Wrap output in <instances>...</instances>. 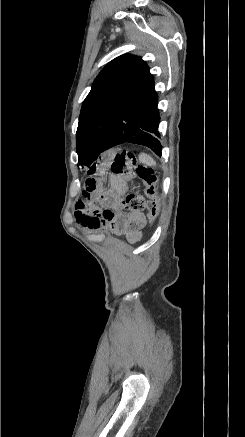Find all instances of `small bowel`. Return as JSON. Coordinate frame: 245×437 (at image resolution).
Masks as SVG:
<instances>
[{"instance_id":"obj_1","label":"small bowel","mask_w":245,"mask_h":437,"mask_svg":"<svg viewBox=\"0 0 245 437\" xmlns=\"http://www.w3.org/2000/svg\"><path fill=\"white\" fill-rule=\"evenodd\" d=\"M114 160V154L108 152L100 154L99 162L96 166H91L87 172L84 193L93 205L100 204V200L94 194L100 192L102 188L100 183H96V180H101L102 175L113 168ZM110 188L111 192L106 197V209L90 214L89 206L80 201L76 206V219L89 229L97 230L104 226L117 235H124L129 242L135 243L141 238L142 229L146 222L145 216L141 212H133L128 215L114 213L112 209L117 205V198L124 193L125 184L120 177L113 176L110 179Z\"/></svg>"}]
</instances>
